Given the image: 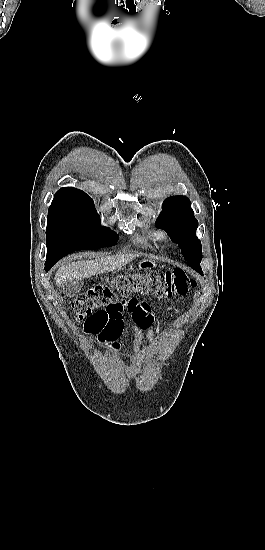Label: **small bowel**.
Returning a JSON list of instances; mask_svg holds the SVG:
<instances>
[{
    "label": "small bowel",
    "mask_w": 265,
    "mask_h": 550,
    "mask_svg": "<svg viewBox=\"0 0 265 550\" xmlns=\"http://www.w3.org/2000/svg\"><path fill=\"white\" fill-rule=\"evenodd\" d=\"M135 313L140 314L143 318L147 319H153L150 315V309L149 306L142 302L141 306H139L137 309L134 310ZM116 322L119 324V327L116 329V336L109 339L112 340L113 343L111 345V348L114 352H119L120 346L115 340L122 334L123 327L120 325L121 319H116ZM129 329L132 331L134 336V344H133V354L138 355L140 352V346L142 344V341L144 338L148 340V343L151 344L154 338V331L151 327V325H148L146 327H139L137 325H130ZM84 333L87 335L93 334L88 328H84Z\"/></svg>",
    "instance_id": "small-bowel-1"
}]
</instances>
